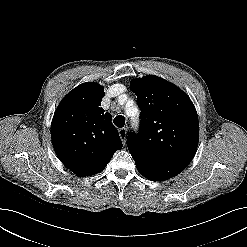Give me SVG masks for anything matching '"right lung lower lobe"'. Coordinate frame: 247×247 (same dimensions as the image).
Here are the masks:
<instances>
[{"instance_id": "1", "label": "right lung lower lobe", "mask_w": 247, "mask_h": 247, "mask_svg": "<svg viewBox=\"0 0 247 247\" xmlns=\"http://www.w3.org/2000/svg\"><path fill=\"white\" fill-rule=\"evenodd\" d=\"M104 168H105V167H104ZM104 168H101V169H99V170H97V171H94V172L88 173V174L83 175V176H90V175H94V174L99 173L100 171H102Z\"/></svg>"}]
</instances>
